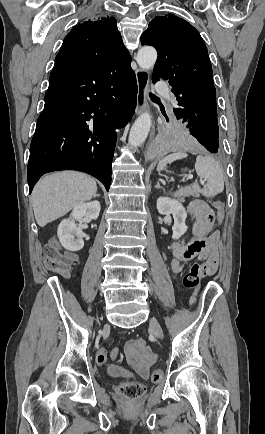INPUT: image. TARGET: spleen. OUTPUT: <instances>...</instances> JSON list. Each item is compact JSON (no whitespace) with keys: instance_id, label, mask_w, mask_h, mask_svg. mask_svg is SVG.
Returning <instances> with one entry per match:
<instances>
[{"instance_id":"3e777b00","label":"spleen","mask_w":265,"mask_h":434,"mask_svg":"<svg viewBox=\"0 0 265 434\" xmlns=\"http://www.w3.org/2000/svg\"><path fill=\"white\" fill-rule=\"evenodd\" d=\"M182 158H187V154L177 152V154L166 156V158L160 160L157 166V172H162V170H165L167 164H172V162L182 160ZM195 170L199 178H205V180H207V186L202 188V190L199 188L198 184H193L192 188L198 190L199 194L206 196V198H213V196H217V194L223 192L224 178L222 168L214 158L207 156V154H204V156H197Z\"/></svg>"}]
</instances>
